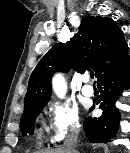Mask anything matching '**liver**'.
<instances>
[{"mask_svg": "<svg viewBox=\"0 0 130 153\" xmlns=\"http://www.w3.org/2000/svg\"><path fill=\"white\" fill-rule=\"evenodd\" d=\"M42 153H68L66 149H55V150H48ZM71 153V152H69Z\"/></svg>", "mask_w": 130, "mask_h": 153, "instance_id": "1", "label": "liver"}]
</instances>
